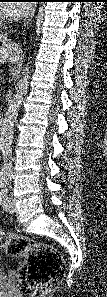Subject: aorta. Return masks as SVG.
<instances>
[{
	"label": "aorta",
	"mask_w": 107,
	"mask_h": 297,
	"mask_svg": "<svg viewBox=\"0 0 107 297\" xmlns=\"http://www.w3.org/2000/svg\"><path fill=\"white\" fill-rule=\"evenodd\" d=\"M30 67L26 65L22 72L17 85V90L14 97L9 101L4 119L1 125L0 132V150L3 158H7L12 153V141L14 128L17 122V117L23 97L26 95L29 87Z\"/></svg>",
	"instance_id": "aorta-1"
}]
</instances>
